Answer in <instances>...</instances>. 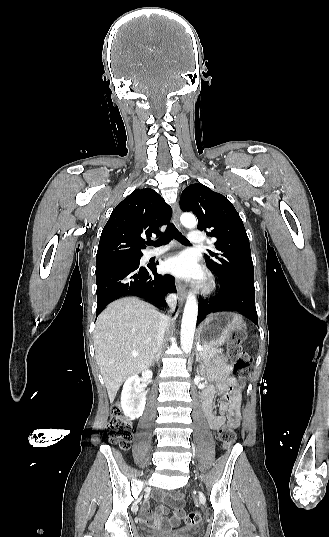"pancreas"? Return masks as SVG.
I'll list each match as a JSON object with an SVG mask.
<instances>
[{"instance_id": "cf45deb5", "label": "pancreas", "mask_w": 329, "mask_h": 537, "mask_svg": "<svg viewBox=\"0 0 329 537\" xmlns=\"http://www.w3.org/2000/svg\"><path fill=\"white\" fill-rule=\"evenodd\" d=\"M203 349L199 352L201 358L204 361H211L218 358V355L222 353L221 349H218L211 345H204Z\"/></svg>"}]
</instances>
